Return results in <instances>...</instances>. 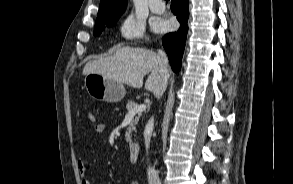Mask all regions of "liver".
<instances>
[{
  "instance_id": "obj_1",
  "label": "liver",
  "mask_w": 293,
  "mask_h": 184,
  "mask_svg": "<svg viewBox=\"0 0 293 184\" xmlns=\"http://www.w3.org/2000/svg\"><path fill=\"white\" fill-rule=\"evenodd\" d=\"M101 74L134 88L143 86V78L150 73L145 89L154 94L161 89L158 54L144 48L123 47L113 55L94 59L86 63L83 74Z\"/></svg>"
}]
</instances>
